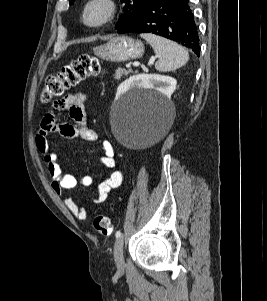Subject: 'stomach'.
<instances>
[{
    "mask_svg": "<svg viewBox=\"0 0 267 301\" xmlns=\"http://www.w3.org/2000/svg\"><path fill=\"white\" fill-rule=\"evenodd\" d=\"M94 54L102 60L110 62H125L141 57L144 45L141 41L128 36H117L107 43L95 47Z\"/></svg>",
    "mask_w": 267,
    "mask_h": 301,
    "instance_id": "1",
    "label": "stomach"
}]
</instances>
